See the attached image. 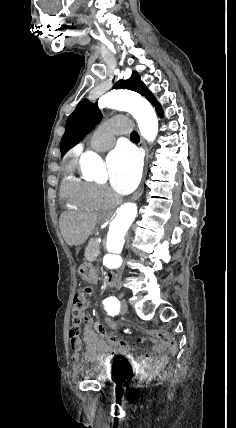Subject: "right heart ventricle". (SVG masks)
I'll use <instances>...</instances> for the list:
<instances>
[{
    "instance_id": "1",
    "label": "right heart ventricle",
    "mask_w": 236,
    "mask_h": 428,
    "mask_svg": "<svg viewBox=\"0 0 236 428\" xmlns=\"http://www.w3.org/2000/svg\"><path fill=\"white\" fill-rule=\"evenodd\" d=\"M83 158L84 156L76 154L68 166L60 185V195L72 206L88 210H98L102 207L104 201L99 198L96 185L74 173L75 168L78 166L81 167Z\"/></svg>"
}]
</instances>
